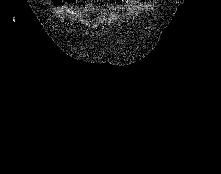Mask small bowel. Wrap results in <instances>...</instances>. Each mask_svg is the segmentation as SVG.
I'll return each mask as SVG.
<instances>
[{
	"label": "small bowel",
	"instance_id": "c3829d8e",
	"mask_svg": "<svg viewBox=\"0 0 221 174\" xmlns=\"http://www.w3.org/2000/svg\"><path fill=\"white\" fill-rule=\"evenodd\" d=\"M56 1V3H58V4H62L63 2H64V0H55Z\"/></svg>",
	"mask_w": 221,
	"mask_h": 174
}]
</instances>
